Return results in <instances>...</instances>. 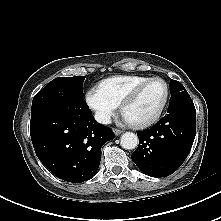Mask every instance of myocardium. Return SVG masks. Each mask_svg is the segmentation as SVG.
Here are the masks:
<instances>
[{
  "label": "myocardium",
  "instance_id": "myocardium-1",
  "mask_svg": "<svg viewBox=\"0 0 221 221\" xmlns=\"http://www.w3.org/2000/svg\"><path fill=\"white\" fill-rule=\"evenodd\" d=\"M153 82H160L164 85L165 87V97L163 99L162 104L160 105L159 109L157 110V112L151 116L148 119L145 120H141V121H133V124L135 126H137L138 128H147L150 127L154 124H156L162 117L165 108L168 104L169 101V97H170V88L168 83L159 77H154V78H149L146 81L140 83L139 85H137L122 101L121 103V110L122 112L125 114L127 108L137 100V98L139 97L141 91L148 86L149 84L153 83Z\"/></svg>",
  "mask_w": 221,
  "mask_h": 221
}]
</instances>
